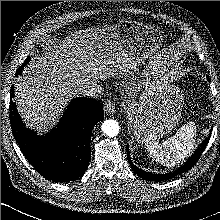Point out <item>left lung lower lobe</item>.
Masks as SVG:
<instances>
[{
  "label": "left lung lower lobe",
  "mask_w": 220,
  "mask_h": 220,
  "mask_svg": "<svg viewBox=\"0 0 220 220\" xmlns=\"http://www.w3.org/2000/svg\"><path fill=\"white\" fill-rule=\"evenodd\" d=\"M208 81H210V78H208ZM211 132L209 134V137H207L200 145V147L197 149V151L190 157V159L179 169H177L174 172L171 173H166V174H155V173H149V172H145L139 168H137L136 166H134V164L132 163L131 159H130V155H129V151L128 152V160L129 163L133 169V171L140 176L141 178L148 180V181H164V180H168L171 179L179 174H182L188 170H190L195 163L198 161V159L200 158L201 153L204 151V149L206 148V145L208 144V141L210 139L211 136Z\"/></svg>",
  "instance_id": "left-lung-lower-lobe-1"
}]
</instances>
